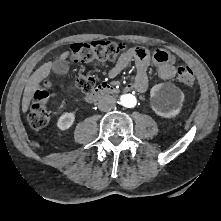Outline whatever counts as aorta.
<instances>
[{
	"label": "aorta",
	"mask_w": 221,
	"mask_h": 221,
	"mask_svg": "<svg viewBox=\"0 0 221 221\" xmlns=\"http://www.w3.org/2000/svg\"><path fill=\"white\" fill-rule=\"evenodd\" d=\"M121 103L128 108L135 107L137 100L132 94H125L121 96Z\"/></svg>",
	"instance_id": "obj_1"
}]
</instances>
